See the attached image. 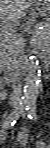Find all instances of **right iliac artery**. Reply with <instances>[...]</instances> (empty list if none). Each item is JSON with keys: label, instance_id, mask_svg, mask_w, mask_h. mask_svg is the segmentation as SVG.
Wrapping results in <instances>:
<instances>
[{"label": "right iliac artery", "instance_id": "right-iliac-artery-1", "mask_svg": "<svg viewBox=\"0 0 50 148\" xmlns=\"http://www.w3.org/2000/svg\"><path fill=\"white\" fill-rule=\"evenodd\" d=\"M27 107H28L27 103H25V102L20 103V104H19V107H18L15 111H13V112L7 117V119L4 121V123H3V128H6V129H7V128L13 126V125L16 123L17 119L20 117V115H21L25 110H27Z\"/></svg>", "mask_w": 50, "mask_h": 148}]
</instances>
